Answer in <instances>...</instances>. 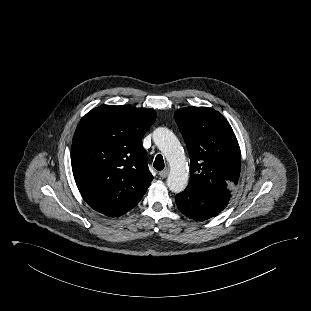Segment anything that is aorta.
I'll return each mask as SVG.
<instances>
[{"label": "aorta", "mask_w": 311, "mask_h": 311, "mask_svg": "<svg viewBox=\"0 0 311 311\" xmlns=\"http://www.w3.org/2000/svg\"><path fill=\"white\" fill-rule=\"evenodd\" d=\"M153 141L170 165L167 186L174 193L182 192L188 183L189 170L181 144L175 134L165 127L153 132Z\"/></svg>", "instance_id": "obj_1"}]
</instances>
